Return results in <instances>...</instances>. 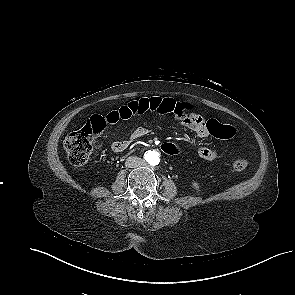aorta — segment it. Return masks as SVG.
<instances>
[{
    "instance_id": "1",
    "label": "aorta",
    "mask_w": 295,
    "mask_h": 295,
    "mask_svg": "<svg viewBox=\"0 0 295 295\" xmlns=\"http://www.w3.org/2000/svg\"><path fill=\"white\" fill-rule=\"evenodd\" d=\"M144 158L150 165H158L160 162V154L156 150L146 151Z\"/></svg>"
}]
</instances>
